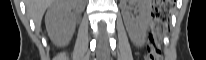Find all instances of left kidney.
Wrapping results in <instances>:
<instances>
[{"instance_id":"obj_1","label":"left kidney","mask_w":206,"mask_h":60,"mask_svg":"<svg viewBox=\"0 0 206 60\" xmlns=\"http://www.w3.org/2000/svg\"><path fill=\"white\" fill-rule=\"evenodd\" d=\"M138 4V17L134 19L129 11L124 12V22L130 38L135 43H141L150 23V0H133Z\"/></svg>"}]
</instances>
